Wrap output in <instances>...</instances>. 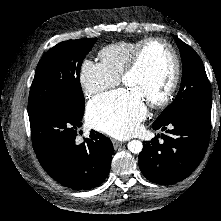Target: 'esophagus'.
Here are the masks:
<instances>
[{
    "instance_id": "1",
    "label": "esophagus",
    "mask_w": 221,
    "mask_h": 221,
    "mask_svg": "<svg viewBox=\"0 0 221 221\" xmlns=\"http://www.w3.org/2000/svg\"><path fill=\"white\" fill-rule=\"evenodd\" d=\"M112 144H113V147H114L115 149H117L120 145L123 144V142H122V141H118V140H116V139H112Z\"/></svg>"
}]
</instances>
